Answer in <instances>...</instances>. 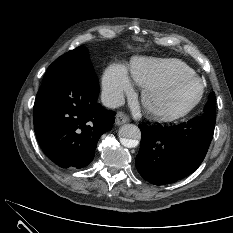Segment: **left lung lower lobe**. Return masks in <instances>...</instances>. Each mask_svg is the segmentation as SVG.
<instances>
[{
	"instance_id": "obj_1",
	"label": "left lung lower lobe",
	"mask_w": 233,
	"mask_h": 233,
	"mask_svg": "<svg viewBox=\"0 0 233 233\" xmlns=\"http://www.w3.org/2000/svg\"><path fill=\"white\" fill-rule=\"evenodd\" d=\"M215 120L198 116L170 127L140 124L142 139L136 157L140 175L152 184L165 185L193 173L206 156Z\"/></svg>"
}]
</instances>
